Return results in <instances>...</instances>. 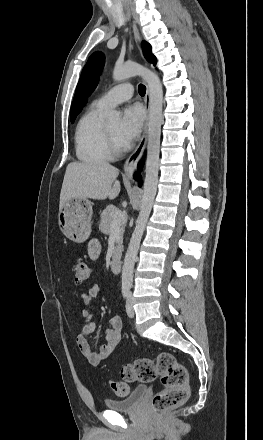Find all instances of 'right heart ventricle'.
<instances>
[{"mask_svg":"<svg viewBox=\"0 0 263 440\" xmlns=\"http://www.w3.org/2000/svg\"><path fill=\"white\" fill-rule=\"evenodd\" d=\"M104 107L91 104L78 121L75 150L79 160L87 163L104 162L111 158L107 148L102 113Z\"/></svg>","mask_w":263,"mask_h":440,"instance_id":"1","label":"right heart ventricle"}]
</instances>
